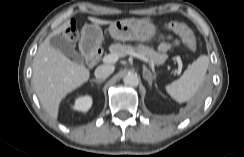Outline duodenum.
<instances>
[{
  "instance_id": "duodenum-1",
  "label": "duodenum",
  "mask_w": 244,
  "mask_h": 157,
  "mask_svg": "<svg viewBox=\"0 0 244 157\" xmlns=\"http://www.w3.org/2000/svg\"><path fill=\"white\" fill-rule=\"evenodd\" d=\"M82 49L86 56V61L90 67L94 66L99 60L100 53L98 49L91 46L88 41H85L82 45Z\"/></svg>"
}]
</instances>
